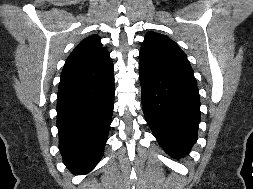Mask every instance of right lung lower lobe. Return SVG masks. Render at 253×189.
Listing matches in <instances>:
<instances>
[{
  "label": "right lung lower lobe",
  "mask_w": 253,
  "mask_h": 189,
  "mask_svg": "<svg viewBox=\"0 0 253 189\" xmlns=\"http://www.w3.org/2000/svg\"><path fill=\"white\" fill-rule=\"evenodd\" d=\"M113 105V72L93 82H60L56 108L59 147L73 174L88 173L101 159Z\"/></svg>",
  "instance_id": "98d812e1"
}]
</instances>
